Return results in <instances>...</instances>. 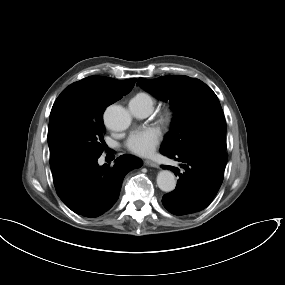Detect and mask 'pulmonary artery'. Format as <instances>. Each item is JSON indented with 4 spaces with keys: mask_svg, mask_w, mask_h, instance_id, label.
Returning a JSON list of instances; mask_svg holds the SVG:
<instances>
[{
    "mask_svg": "<svg viewBox=\"0 0 285 285\" xmlns=\"http://www.w3.org/2000/svg\"><path fill=\"white\" fill-rule=\"evenodd\" d=\"M129 110L136 117H145L153 110V104L149 97L136 95L128 104Z\"/></svg>",
    "mask_w": 285,
    "mask_h": 285,
    "instance_id": "1",
    "label": "pulmonary artery"
}]
</instances>
